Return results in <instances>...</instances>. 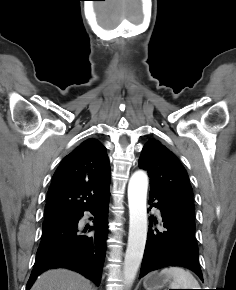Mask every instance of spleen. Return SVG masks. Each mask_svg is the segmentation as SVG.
Wrapping results in <instances>:
<instances>
[{
	"mask_svg": "<svg viewBox=\"0 0 236 290\" xmlns=\"http://www.w3.org/2000/svg\"><path fill=\"white\" fill-rule=\"evenodd\" d=\"M160 273L172 278L170 289H199V283L194 276L181 267L164 268Z\"/></svg>",
	"mask_w": 236,
	"mask_h": 290,
	"instance_id": "obj_1",
	"label": "spleen"
}]
</instances>
